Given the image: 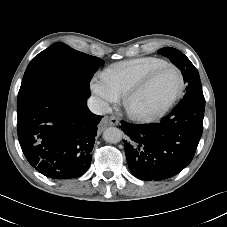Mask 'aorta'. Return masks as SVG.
Returning a JSON list of instances; mask_svg holds the SVG:
<instances>
[{
    "instance_id": "762f6f07",
    "label": "aorta",
    "mask_w": 227,
    "mask_h": 227,
    "mask_svg": "<svg viewBox=\"0 0 227 227\" xmlns=\"http://www.w3.org/2000/svg\"><path fill=\"white\" fill-rule=\"evenodd\" d=\"M123 136L122 131L116 127H108L103 132V139L108 143H118L121 141Z\"/></svg>"
}]
</instances>
